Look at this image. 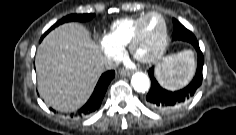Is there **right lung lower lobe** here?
I'll return each mask as SVG.
<instances>
[{
  "mask_svg": "<svg viewBox=\"0 0 236 135\" xmlns=\"http://www.w3.org/2000/svg\"><path fill=\"white\" fill-rule=\"evenodd\" d=\"M45 35L46 34H44L43 37ZM114 76H115V72L112 70L103 73L102 76L100 77L95 89H94L92 96L88 100V102L80 110H78L76 113L72 114L71 116H81L82 117L84 115H89L92 112L96 111L100 107L101 102H102L104 95L106 93L107 87H108L109 83L111 82V80L114 78Z\"/></svg>",
  "mask_w": 236,
  "mask_h": 135,
  "instance_id": "obj_1",
  "label": "right lung lower lobe"
}]
</instances>
